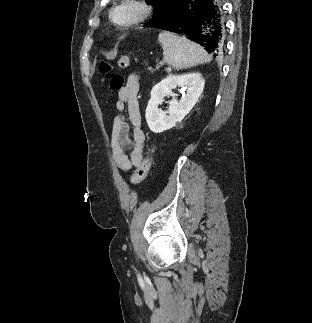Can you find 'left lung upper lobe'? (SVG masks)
Wrapping results in <instances>:
<instances>
[{
  "mask_svg": "<svg viewBox=\"0 0 312 323\" xmlns=\"http://www.w3.org/2000/svg\"><path fill=\"white\" fill-rule=\"evenodd\" d=\"M147 4L154 7L152 19L146 23L145 27H156L161 24L170 13L172 4L176 0H145Z\"/></svg>",
  "mask_w": 312,
  "mask_h": 323,
  "instance_id": "1",
  "label": "left lung upper lobe"
}]
</instances>
